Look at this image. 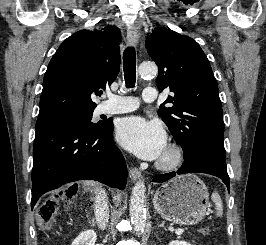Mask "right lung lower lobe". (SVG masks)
<instances>
[{"label":"right lung lower lobe","mask_w":266,"mask_h":245,"mask_svg":"<svg viewBox=\"0 0 266 245\" xmlns=\"http://www.w3.org/2000/svg\"><path fill=\"white\" fill-rule=\"evenodd\" d=\"M113 123L56 120L36 130L33 146L31 208L46 192L81 179L124 189L127 168L113 143Z\"/></svg>","instance_id":"1"}]
</instances>
